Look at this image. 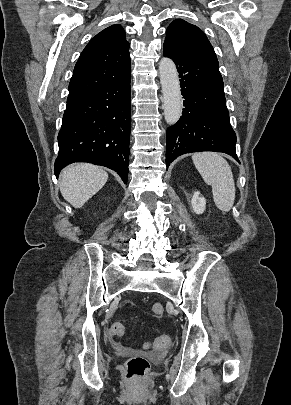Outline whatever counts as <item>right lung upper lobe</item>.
I'll list each match as a JSON object with an SVG mask.
<instances>
[{"instance_id": "right-lung-upper-lobe-1", "label": "right lung upper lobe", "mask_w": 291, "mask_h": 405, "mask_svg": "<svg viewBox=\"0 0 291 405\" xmlns=\"http://www.w3.org/2000/svg\"><path fill=\"white\" fill-rule=\"evenodd\" d=\"M128 50L125 31L118 24L93 37L75 65L67 102L128 75L131 68Z\"/></svg>"}]
</instances>
